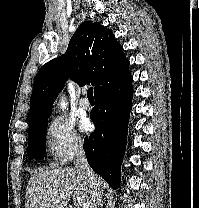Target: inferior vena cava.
Instances as JSON below:
<instances>
[{"instance_id": "inferior-vena-cava-1", "label": "inferior vena cava", "mask_w": 199, "mask_h": 208, "mask_svg": "<svg viewBox=\"0 0 199 208\" xmlns=\"http://www.w3.org/2000/svg\"><path fill=\"white\" fill-rule=\"evenodd\" d=\"M74 165L75 168L83 174L89 183L90 196L84 204L83 208H99L102 201L101 190L97 182V177L89 166L85 152L81 145H79L75 151Z\"/></svg>"}]
</instances>
